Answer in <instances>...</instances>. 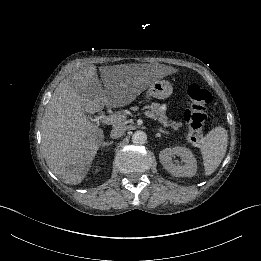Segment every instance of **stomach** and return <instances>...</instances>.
<instances>
[{"label":"stomach","mask_w":261,"mask_h":261,"mask_svg":"<svg viewBox=\"0 0 261 261\" xmlns=\"http://www.w3.org/2000/svg\"><path fill=\"white\" fill-rule=\"evenodd\" d=\"M173 92V87L170 82L162 80L155 81L149 88L147 94L157 99H166Z\"/></svg>","instance_id":"obj_1"}]
</instances>
